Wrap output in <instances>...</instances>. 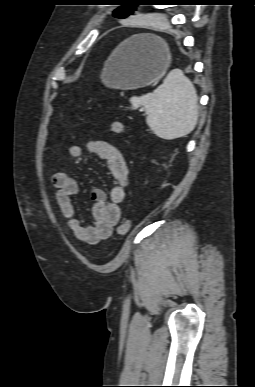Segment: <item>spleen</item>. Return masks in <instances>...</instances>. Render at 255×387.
Segmentation results:
<instances>
[{
    "mask_svg": "<svg viewBox=\"0 0 255 387\" xmlns=\"http://www.w3.org/2000/svg\"><path fill=\"white\" fill-rule=\"evenodd\" d=\"M132 109L143 107L146 123L155 135L172 140L194 130L198 96L192 82L179 69L171 70L152 93L131 97Z\"/></svg>",
    "mask_w": 255,
    "mask_h": 387,
    "instance_id": "3e777b00",
    "label": "spleen"
}]
</instances>
